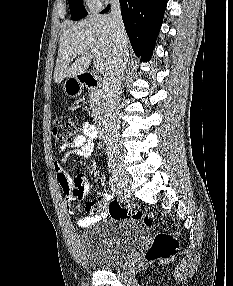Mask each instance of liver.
<instances>
[{
  "label": "liver",
  "mask_w": 233,
  "mask_h": 286,
  "mask_svg": "<svg viewBox=\"0 0 233 286\" xmlns=\"http://www.w3.org/2000/svg\"><path fill=\"white\" fill-rule=\"evenodd\" d=\"M93 48L100 51L107 70L115 48V30L110 15H92L63 32L54 71L55 83L84 73L91 63L93 56L90 50ZM76 57L75 62L69 66Z\"/></svg>",
  "instance_id": "obj_1"
}]
</instances>
